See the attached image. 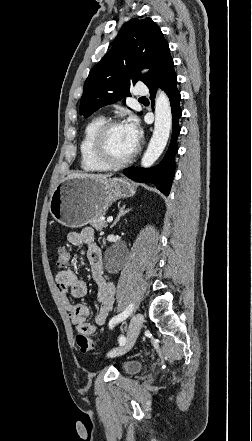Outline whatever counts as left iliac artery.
Masks as SVG:
<instances>
[{
    "label": "left iliac artery",
    "mask_w": 252,
    "mask_h": 441,
    "mask_svg": "<svg viewBox=\"0 0 252 441\" xmlns=\"http://www.w3.org/2000/svg\"><path fill=\"white\" fill-rule=\"evenodd\" d=\"M134 308V304L130 303L127 308L120 314H118L117 316L113 317L110 320V327H113L115 324H118L120 322H122L123 320H125L133 311ZM119 344L120 346L124 345L126 343V338L123 336V333H120V337H119Z\"/></svg>",
    "instance_id": "44dca946"
}]
</instances>
